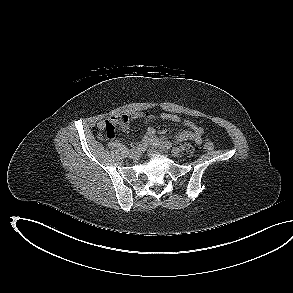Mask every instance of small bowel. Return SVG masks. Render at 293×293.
Here are the masks:
<instances>
[{
    "mask_svg": "<svg viewBox=\"0 0 293 293\" xmlns=\"http://www.w3.org/2000/svg\"><path fill=\"white\" fill-rule=\"evenodd\" d=\"M138 118H143L146 124V131L142 137V142L145 145H152V146H170L171 141L168 140L163 134L164 131L157 132V130L152 127L149 123L155 119V116L149 113H136L131 115H124L120 119L112 118L120 120L122 124V128L125 132L129 131V122ZM161 118L165 121L170 122H180L179 116L171 113H163ZM184 125L188 128L177 134L175 138V142H187L193 141L196 144L202 143V137L204 130L202 127L198 126L195 122L190 120H185ZM106 121H99L97 123V128L100 132H102L105 128Z\"/></svg>",
    "mask_w": 293,
    "mask_h": 293,
    "instance_id": "small-bowel-1",
    "label": "small bowel"
}]
</instances>
